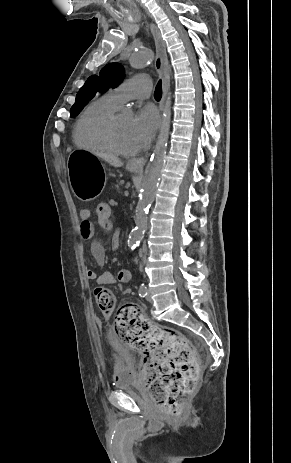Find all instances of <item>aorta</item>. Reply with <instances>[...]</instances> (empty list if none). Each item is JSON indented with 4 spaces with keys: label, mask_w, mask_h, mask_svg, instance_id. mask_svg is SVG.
Masks as SVG:
<instances>
[{
    "label": "aorta",
    "mask_w": 291,
    "mask_h": 463,
    "mask_svg": "<svg viewBox=\"0 0 291 463\" xmlns=\"http://www.w3.org/2000/svg\"><path fill=\"white\" fill-rule=\"evenodd\" d=\"M129 62L131 67L135 69H141L143 67L149 66L153 62V52L151 49L147 48L139 50L131 56ZM169 95L163 108L162 123L158 135V140L145 170V177L142 184L141 194L136 207V226L129 234L127 240L128 247L131 249H134L143 238V234L147 227V213L151 203L154 200L158 181L164 168L171 120V102Z\"/></svg>",
    "instance_id": "aorta-1"
}]
</instances>
